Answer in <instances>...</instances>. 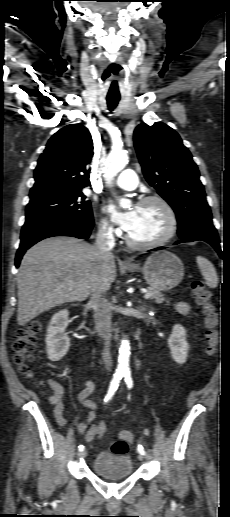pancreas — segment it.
<instances>
[{
  "label": "pancreas",
  "instance_id": "obj_1",
  "mask_svg": "<svg viewBox=\"0 0 230 517\" xmlns=\"http://www.w3.org/2000/svg\"><path fill=\"white\" fill-rule=\"evenodd\" d=\"M148 292L152 293L151 297H152V299H155L156 302L161 303V302L165 301L164 294L160 290L154 289L152 287H148Z\"/></svg>",
  "mask_w": 230,
  "mask_h": 517
}]
</instances>
